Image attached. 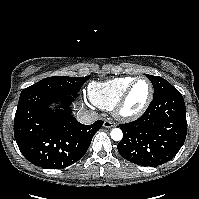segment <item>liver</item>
I'll return each mask as SVG.
<instances>
[{
    "mask_svg": "<svg viewBox=\"0 0 199 199\" xmlns=\"http://www.w3.org/2000/svg\"><path fill=\"white\" fill-rule=\"evenodd\" d=\"M74 109L77 111V113H76L77 116L86 111L83 104L74 105Z\"/></svg>",
    "mask_w": 199,
    "mask_h": 199,
    "instance_id": "6515ba94",
    "label": "liver"
}]
</instances>
